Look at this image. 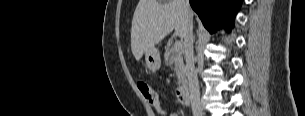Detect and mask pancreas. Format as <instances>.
I'll return each instance as SVG.
<instances>
[{
  "label": "pancreas",
  "instance_id": "pancreas-1",
  "mask_svg": "<svg viewBox=\"0 0 305 116\" xmlns=\"http://www.w3.org/2000/svg\"><path fill=\"white\" fill-rule=\"evenodd\" d=\"M165 50V62L173 68L177 77V84L180 85L186 77V68L183 62V49H175L173 43L169 42Z\"/></svg>",
  "mask_w": 305,
  "mask_h": 116
}]
</instances>
